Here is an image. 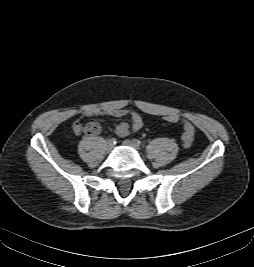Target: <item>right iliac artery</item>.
<instances>
[{
  "instance_id": "1",
  "label": "right iliac artery",
  "mask_w": 254,
  "mask_h": 267,
  "mask_svg": "<svg viewBox=\"0 0 254 267\" xmlns=\"http://www.w3.org/2000/svg\"><path fill=\"white\" fill-rule=\"evenodd\" d=\"M116 138H111L110 140H109V144H112V145H115L116 144Z\"/></svg>"
}]
</instances>
